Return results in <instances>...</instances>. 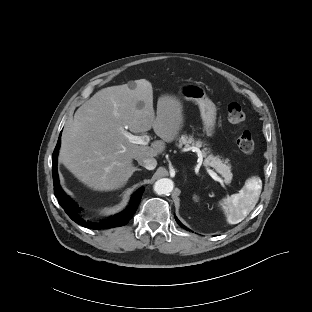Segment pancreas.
<instances>
[{
	"label": "pancreas",
	"mask_w": 312,
	"mask_h": 312,
	"mask_svg": "<svg viewBox=\"0 0 312 312\" xmlns=\"http://www.w3.org/2000/svg\"><path fill=\"white\" fill-rule=\"evenodd\" d=\"M190 144L192 146H196L197 148L202 146L201 141H194L192 137H187L186 135H183L179 139L178 147L181 148L183 145L185 147L189 148ZM203 155L205 156V152H203ZM205 163L215 168L221 175L224 177V181L226 184H229L232 180V172H231V165L228 163V160L223 163L221 159L213 156H208L205 160ZM227 163V164H226Z\"/></svg>",
	"instance_id": "pancreas-1"
}]
</instances>
